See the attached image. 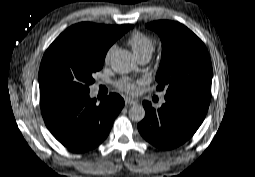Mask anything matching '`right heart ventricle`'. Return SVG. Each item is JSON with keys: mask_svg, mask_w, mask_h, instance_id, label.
Returning a JSON list of instances; mask_svg holds the SVG:
<instances>
[{"mask_svg": "<svg viewBox=\"0 0 255 177\" xmlns=\"http://www.w3.org/2000/svg\"><path fill=\"white\" fill-rule=\"evenodd\" d=\"M128 44L138 60L145 55L151 56L155 49L154 40L141 32L133 33L128 39Z\"/></svg>", "mask_w": 255, "mask_h": 177, "instance_id": "obj_1", "label": "right heart ventricle"}]
</instances>
